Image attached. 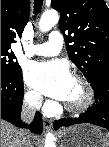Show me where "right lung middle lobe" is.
Here are the masks:
<instances>
[{"label":"right lung middle lobe","instance_id":"1","mask_svg":"<svg viewBox=\"0 0 109 147\" xmlns=\"http://www.w3.org/2000/svg\"><path fill=\"white\" fill-rule=\"evenodd\" d=\"M9 49L1 48V74L11 76L21 73V67L13 59L15 55L13 52H8Z\"/></svg>","mask_w":109,"mask_h":147}]
</instances>
